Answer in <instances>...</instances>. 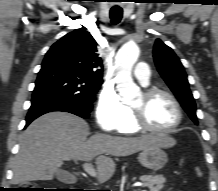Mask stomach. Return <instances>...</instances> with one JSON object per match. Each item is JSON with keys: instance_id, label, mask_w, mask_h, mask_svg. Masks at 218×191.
<instances>
[{"instance_id": "1", "label": "stomach", "mask_w": 218, "mask_h": 191, "mask_svg": "<svg viewBox=\"0 0 218 191\" xmlns=\"http://www.w3.org/2000/svg\"><path fill=\"white\" fill-rule=\"evenodd\" d=\"M142 166L153 171L162 169L167 161V154L159 146H152L144 149L138 157Z\"/></svg>"}]
</instances>
